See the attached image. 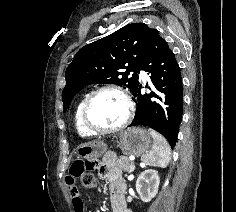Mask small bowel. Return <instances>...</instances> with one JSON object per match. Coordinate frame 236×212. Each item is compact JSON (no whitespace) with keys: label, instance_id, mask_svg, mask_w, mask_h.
<instances>
[{"label":"small bowel","instance_id":"obj_1","mask_svg":"<svg viewBox=\"0 0 236 212\" xmlns=\"http://www.w3.org/2000/svg\"><path fill=\"white\" fill-rule=\"evenodd\" d=\"M101 175L109 181L110 185V203L113 212H127L126 203L124 200L125 183L121 178V173L118 169L109 165L108 162L101 163ZM82 180L78 175H67L66 184L69 187V192L72 199L74 212H84V203L81 194L74 184H81Z\"/></svg>","mask_w":236,"mask_h":212}]
</instances>
